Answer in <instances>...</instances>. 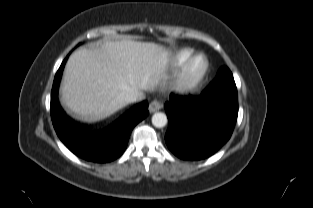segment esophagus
Wrapping results in <instances>:
<instances>
[{"label": "esophagus", "mask_w": 313, "mask_h": 208, "mask_svg": "<svg viewBox=\"0 0 313 208\" xmlns=\"http://www.w3.org/2000/svg\"><path fill=\"white\" fill-rule=\"evenodd\" d=\"M161 108H162V104L158 100H153L149 104V111L151 113L156 112V111L160 110Z\"/></svg>", "instance_id": "1"}]
</instances>
